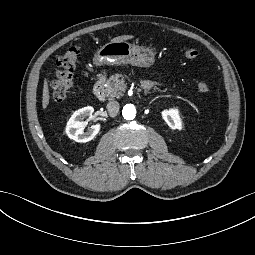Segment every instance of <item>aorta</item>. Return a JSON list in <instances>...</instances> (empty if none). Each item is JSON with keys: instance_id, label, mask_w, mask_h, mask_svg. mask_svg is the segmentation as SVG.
<instances>
[{"instance_id": "1", "label": "aorta", "mask_w": 255, "mask_h": 255, "mask_svg": "<svg viewBox=\"0 0 255 255\" xmlns=\"http://www.w3.org/2000/svg\"><path fill=\"white\" fill-rule=\"evenodd\" d=\"M122 115L126 120H132L136 116V108L133 104H126L123 107Z\"/></svg>"}]
</instances>
